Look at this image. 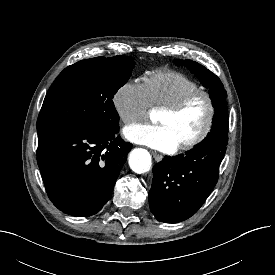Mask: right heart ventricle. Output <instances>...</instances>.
<instances>
[{"label": "right heart ventricle", "mask_w": 275, "mask_h": 275, "mask_svg": "<svg viewBox=\"0 0 275 275\" xmlns=\"http://www.w3.org/2000/svg\"><path fill=\"white\" fill-rule=\"evenodd\" d=\"M151 105L162 108L177 102L186 94L200 89V86L187 75L171 71L157 70L144 80Z\"/></svg>", "instance_id": "1"}]
</instances>
